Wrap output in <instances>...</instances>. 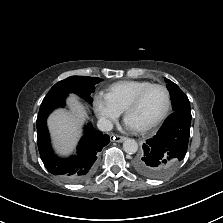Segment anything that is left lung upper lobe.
<instances>
[{"instance_id":"left-lung-upper-lobe-1","label":"left lung upper lobe","mask_w":223,"mask_h":223,"mask_svg":"<svg viewBox=\"0 0 223 223\" xmlns=\"http://www.w3.org/2000/svg\"><path fill=\"white\" fill-rule=\"evenodd\" d=\"M165 82L172 100L173 112L182 111L191 114L190 102L184 92L171 80L165 78Z\"/></svg>"}]
</instances>
